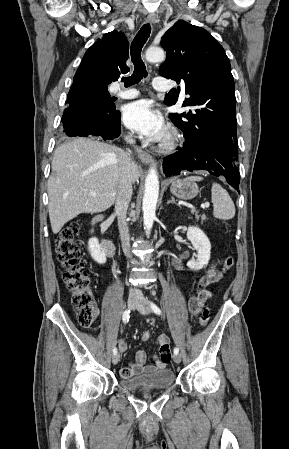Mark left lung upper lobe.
Returning a JSON list of instances; mask_svg holds the SVG:
<instances>
[{
	"instance_id": "left-lung-upper-lobe-1",
	"label": "left lung upper lobe",
	"mask_w": 289,
	"mask_h": 449,
	"mask_svg": "<svg viewBox=\"0 0 289 449\" xmlns=\"http://www.w3.org/2000/svg\"><path fill=\"white\" fill-rule=\"evenodd\" d=\"M167 52L160 66L161 76L185 84L189 95L183 107L188 112L172 114L171 118L189 133L219 128L236 135V98L229 59L223 47L205 29L177 21L162 37ZM180 87L165 95V103L174 105Z\"/></svg>"
}]
</instances>
